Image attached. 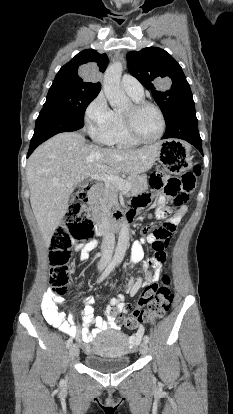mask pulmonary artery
Returning a JSON list of instances; mask_svg holds the SVG:
<instances>
[{"label":"pulmonary artery","mask_w":233,"mask_h":414,"mask_svg":"<svg viewBox=\"0 0 233 414\" xmlns=\"http://www.w3.org/2000/svg\"><path fill=\"white\" fill-rule=\"evenodd\" d=\"M122 89L130 96L142 98L144 94L142 84L132 75L125 74L121 79Z\"/></svg>","instance_id":"pulmonary-artery-1"}]
</instances>
